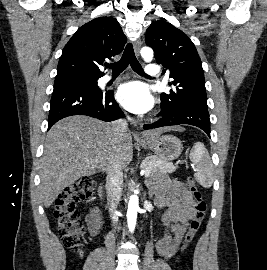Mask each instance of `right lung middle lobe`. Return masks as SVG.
Instances as JSON below:
<instances>
[{"label": "right lung middle lobe", "instance_id": "right-lung-middle-lobe-1", "mask_svg": "<svg viewBox=\"0 0 267 270\" xmlns=\"http://www.w3.org/2000/svg\"><path fill=\"white\" fill-rule=\"evenodd\" d=\"M99 77H90L76 74H66L56 76L54 88L58 87H82L90 89H99L97 87V80Z\"/></svg>", "mask_w": 267, "mask_h": 270}]
</instances>
